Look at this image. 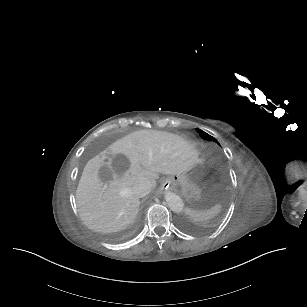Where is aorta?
I'll use <instances>...</instances> for the list:
<instances>
[{"instance_id":"aorta-1","label":"aorta","mask_w":307,"mask_h":307,"mask_svg":"<svg viewBox=\"0 0 307 307\" xmlns=\"http://www.w3.org/2000/svg\"><path fill=\"white\" fill-rule=\"evenodd\" d=\"M165 200L168 203L170 209L174 212H180L183 209V201L182 199L173 192H167L165 194Z\"/></svg>"}]
</instances>
